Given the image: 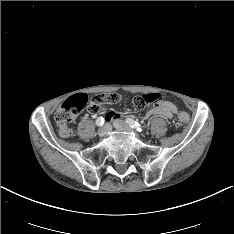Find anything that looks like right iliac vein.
<instances>
[{
  "instance_id": "1",
  "label": "right iliac vein",
  "mask_w": 234,
  "mask_h": 234,
  "mask_svg": "<svg viewBox=\"0 0 234 234\" xmlns=\"http://www.w3.org/2000/svg\"><path fill=\"white\" fill-rule=\"evenodd\" d=\"M110 131V125L109 124H105L103 127H101L99 130H98V135L100 137H104L108 134V132Z\"/></svg>"
}]
</instances>
